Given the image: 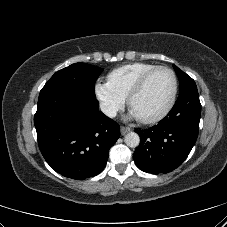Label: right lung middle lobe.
Returning a JSON list of instances; mask_svg holds the SVG:
<instances>
[{
    "label": "right lung middle lobe",
    "instance_id": "right-lung-middle-lobe-1",
    "mask_svg": "<svg viewBox=\"0 0 227 227\" xmlns=\"http://www.w3.org/2000/svg\"><path fill=\"white\" fill-rule=\"evenodd\" d=\"M103 69L85 63H75L57 71L43 88L67 84L95 97L94 85Z\"/></svg>",
    "mask_w": 227,
    "mask_h": 227
}]
</instances>
